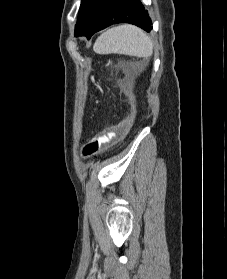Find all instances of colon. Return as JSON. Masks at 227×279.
<instances>
[{
	"label": "colon",
	"instance_id": "5ec220e1",
	"mask_svg": "<svg viewBox=\"0 0 227 279\" xmlns=\"http://www.w3.org/2000/svg\"><path fill=\"white\" fill-rule=\"evenodd\" d=\"M124 101L128 107L131 108L129 96H124ZM113 136L109 132H102L91 138L83 148V155L90 157L96 154L103 145H107L112 140Z\"/></svg>",
	"mask_w": 227,
	"mask_h": 279
}]
</instances>
